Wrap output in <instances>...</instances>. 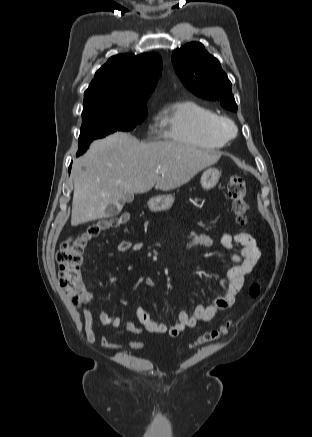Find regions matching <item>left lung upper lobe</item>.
<instances>
[{"label":"left lung upper lobe","instance_id":"left-lung-upper-lobe-1","mask_svg":"<svg viewBox=\"0 0 312 437\" xmlns=\"http://www.w3.org/2000/svg\"><path fill=\"white\" fill-rule=\"evenodd\" d=\"M172 62L178 77L192 93L237 111L230 80L219 61L201 43L191 42L175 50Z\"/></svg>","mask_w":312,"mask_h":437}]
</instances>
